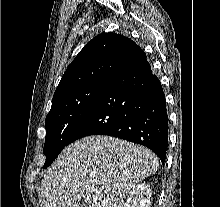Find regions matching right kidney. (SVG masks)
Wrapping results in <instances>:
<instances>
[{"label":"right kidney","instance_id":"right-kidney-1","mask_svg":"<svg viewBox=\"0 0 220 207\" xmlns=\"http://www.w3.org/2000/svg\"><path fill=\"white\" fill-rule=\"evenodd\" d=\"M151 188L145 183H138L129 192L124 207H150Z\"/></svg>","mask_w":220,"mask_h":207}]
</instances>
